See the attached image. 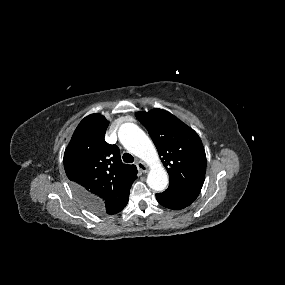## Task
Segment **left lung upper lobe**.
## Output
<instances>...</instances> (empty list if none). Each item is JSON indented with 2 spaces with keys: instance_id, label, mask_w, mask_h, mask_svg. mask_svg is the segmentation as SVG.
Returning a JSON list of instances; mask_svg holds the SVG:
<instances>
[{
  "instance_id": "left-lung-upper-lobe-1",
  "label": "left lung upper lobe",
  "mask_w": 285,
  "mask_h": 285,
  "mask_svg": "<svg viewBox=\"0 0 285 285\" xmlns=\"http://www.w3.org/2000/svg\"><path fill=\"white\" fill-rule=\"evenodd\" d=\"M136 117L148 130L170 184L200 191L205 180L206 155L196 132L162 109L138 112Z\"/></svg>"
}]
</instances>
